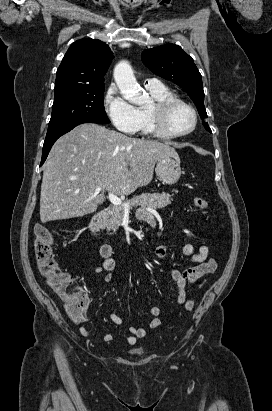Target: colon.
Listing matches in <instances>:
<instances>
[{
    "instance_id": "colon-1",
    "label": "colon",
    "mask_w": 272,
    "mask_h": 411,
    "mask_svg": "<svg viewBox=\"0 0 272 411\" xmlns=\"http://www.w3.org/2000/svg\"><path fill=\"white\" fill-rule=\"evenodd\" d=\"M192 204L196 209L203 211L208 207L203 197H194ZM34 233V252L39 272L47 285L64 302L69 317L75 322L84 321L89 302L86 292L78 287L71 276L56 263L52 252L53 236L50 230L37 224Z\"/></svg>"
}]
</instances>
